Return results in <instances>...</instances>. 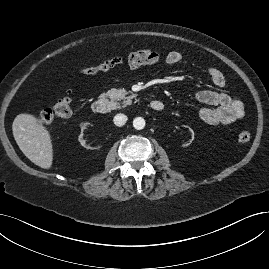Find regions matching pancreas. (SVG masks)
I'll use <instances>...</instances> for the list:
<instances>
[{"label":"pancreas","mask_w":269,"mask_h":269,"mask_svg":"<svg viewBox=\"0 0 269 269\" xmlns=\"http://www.w3.org/2000/svg\"><path fill=\"white\" fill-rule=\"evenodd\" d=\"M129 92L125 89H111L109 90L106 95L112 100L116 101L115 104L117 105V108H120V104L117 101L123 100V106H127L132 104V99L136 97L135 94L128 95Z\"/></svg>","instance_id":"obj_1"}]
</instances>
